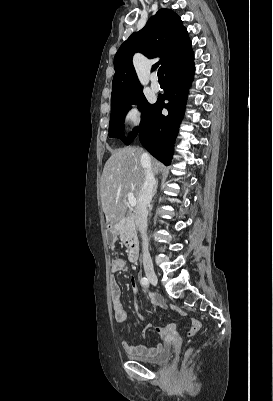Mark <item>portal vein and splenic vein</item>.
Instances as JSON below:
<instances>
[{
    "mask_svg": "<svg viewBox=\"0 0 273 401\" xmlns=\"http://www.w3.org/2000/svg\"><path fill=\"white\" fill-rule=\"evenodd\" d=\"M128 201H129V205L130 207H136V198L133 194V192H128Z\"/></svg>",
    "mask_w": 273,
    "mask_h": 401,
    "instance_id": "18ae733b",
    "label": "portal vein and splenic vein"
}]
</instances>
